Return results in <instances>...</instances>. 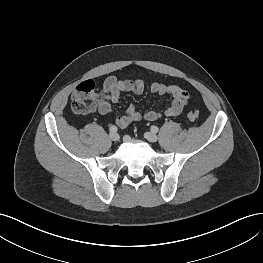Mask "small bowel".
<instances>
[{"label":"small bowel","mask_w":263,"mask_h":263,"mask_svg":"<svg viewBox=\"0 0 263 263\" xmlns=\"http://www.w3.org/2000/svg\"><path fill=\"white\" fill-rule=\"evenodd\" d=\"M151 93L156 95H169L172 97L170 105L164 111H147L141 113L134 106H128L123 115L116 116L115 123L119 127H127L129 124L141 119L155 121L162 115L174 117L182 113L188 103L189 94L186 90L176 84H163L153 82L149 86ZM145 91V83L141 79L126 80L116 76L107 77L100 90L99 98L95 105V112L106 115L111 110V104L119 102L123 92H131L141 95Z\"/></svg>","instance_id":"small-bowel-1"}]
</instances>
